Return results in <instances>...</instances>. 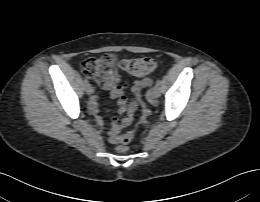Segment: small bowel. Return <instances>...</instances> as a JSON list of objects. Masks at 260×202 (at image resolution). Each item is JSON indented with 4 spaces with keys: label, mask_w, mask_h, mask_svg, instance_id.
<instances>
[{
    "label": "small bowel",
    "mask_w": 260,
    "mask_h": 202,
    "mask_svg": "<svg viewBox=\"0 0 260 202\" xmlns=\"http://www.w3.org/2000/svg\"><path fill=\"white\" fill-rule=\"evenodd\" d=\"M100 85L104 90L108 91L110 97L114 100H117L118 103V114L120 117L113 118L110 125L105 129L109 136V141L115 144L118 142V134L132 123L138 104L134 100H127L126 87L119 85L116 78L107 84ZM88 108L96 123L100 126H103L104 123L102 117L99 114L97 96H93L89 100Z\"/></svg>",
    "instance_id": "small-bowel-1"
}]
</instances>
